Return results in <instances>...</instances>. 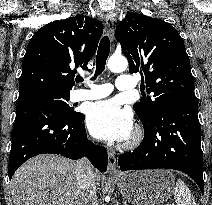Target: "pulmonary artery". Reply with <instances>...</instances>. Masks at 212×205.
<instances>
[{
  "label": "pulmonary artery",
  "instance_id": "1",
  "mask_svg": "<svg viewBox=\"0 0 212 205\" xmlns=\"http://www.w3.org/2000/svg\"><path fill=\"white\" fill-rule=\"evenodd\" d=\"M135 79L126 74H120L115 82V87L118 90H131L136 87ZM113 85L110 83L96 84L87 83L86 89H78L73 93L74 101L94 100L108 96L113 91Z\"/></svg>",
  "mask_w": 212,
  "mask_h": 205
}]
</instances>
